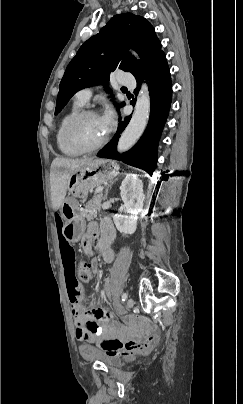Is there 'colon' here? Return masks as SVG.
<instances>
[{
  "instance_id": "colon-1",
  "label": "colon",
  "mask_w": 243,
  "mask_h": 404,
  "mask_svg": "<svg viewBox=\"0 0 243 404\" xmlns=\"http://www.w3.org/2000/svg\"><path fill=\"white\" fill-rule=\"evenodd\" d=\"M94 278V270L89 262L83 261L80 263L78 268V279L82 283H89ZM104 292L107 296L112 295V287L109 281L106 282L104 287ZM81 293L75 292L72 294V299L78 302ZM156 344L155 336L150 332H145L141 337L129 340L127 342H122L117 338H105L99 341V345L111 352H121L125 355H134L140 353H146L150 351Z\"/></svg>"
}]
</instances>
